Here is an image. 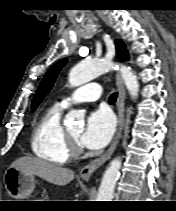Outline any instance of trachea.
Instances as JSON below:
<instances>
[{"label": "trachea", "mask_w": 176, "mask_h": 211, "mask_svg": "<svg viewBox=\"0 0 176 211\" xmlns=\"http://www.w3.org/2000/svg\"><path fill=\"white\" fill-rule=\"evenodd\" d=\"M116 99H117V93L115 92V93L110 95L109 102L110 103H115Z\"/></svg>", "instance_id": "3493384b"}]
</instances>
